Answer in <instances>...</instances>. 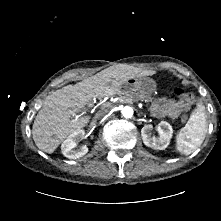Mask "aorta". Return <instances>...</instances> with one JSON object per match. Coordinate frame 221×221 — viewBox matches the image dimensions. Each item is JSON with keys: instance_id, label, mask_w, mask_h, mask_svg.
<instances>
[{"instance_id": "obj_1", "label": "aorta", "mask_w": 221, "mask_h": 221, "mask_svg": "<svg viewBox=\"0 0 221 221\" xmlns=\"http://www.w3.org/2000/svg\"><path fill=\"white\" fill-rule=\"evenodd\" d=\"M122 115L125 117V118H132L133 117V109L132 107L130 106H125L122 111H121Z\"/></svg>"}]
</instances>
